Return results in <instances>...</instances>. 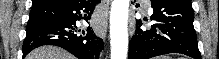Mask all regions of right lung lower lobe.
<instances>
[{"instance_id":"right-lung-lower-lobe-1","label":"right lung lower lobe","mask_w":219,"mask_h":59,"mask_svg":"<svg viewBox=\"0 0 219 59\" xmlns=\"http://www.w3.org/2000/svg\"><path fill=\"white\" fill-rule=\"evenodd\" d=\"M101 0H61L45 3L31 9L30 15L48 13L52 20L27 27L23 43V57L42 45H55L64 48L78 59H98L103 49V40L95 35L91 27L82 33L76 21L91 18L93 8ZM81 11L86 14L82 17Z\"/></svg>"}]
</instances>
